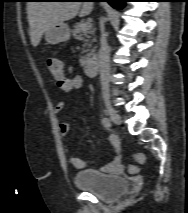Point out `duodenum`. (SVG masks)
<instances>
[{
	"label": "duodenum",
	"instance_id": "1",
	"mask_svg": "<svg viewBox=\"0 0 188 213\" xmlns=\"http://www.w3.org/2000/svg\"><path fill=\"white\" fill-rule=\"evenodd\" d=\"M85 72L89 77H94L98 72V64L94 60L87 61L85 64Z\"/></svg>",
	"mask_w": 188,
	"mask_h": 213
}]
</instances>
